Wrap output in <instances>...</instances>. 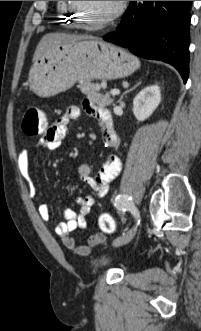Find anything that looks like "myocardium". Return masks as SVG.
<instances>
[{
	"instance_id": "obj_1",
	"label": "myocardium",
	"mask_w": 201,
	"mask_h": 331,
	"mask_svg": "<svg viewBox=\"0 0 201 331\" xmlns=\"http://www.w3.org/2000/svg\"><path fill=\"white\" fill-rule=\"evenodd\" d=\"M124 3H125V1H117L115 9L109 15H107L105 18H103L102 20H100L94 24H91L90 22H88L87 20L84 19L83 15H82L81 7L79 6L77 1H69V6L76 14V18L79 19L80 23L87 25V26H91V27H105V26L109 25L110 23H112L114 20H116L121 15V13L124 10V6H125Z\"/></svg>"
}]
</instances>
